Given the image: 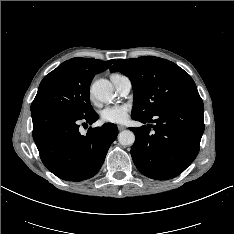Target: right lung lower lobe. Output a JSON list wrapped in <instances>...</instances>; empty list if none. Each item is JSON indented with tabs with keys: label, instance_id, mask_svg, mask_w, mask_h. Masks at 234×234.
I'll return each mask as SVG.
<instances>
[{
	"label": "right lung lower lobe",
	"instance_id": "right-lung-lower-lobe-1",
	"mask_svg": "<svg viewBox=\"0 0 234 234\" xmlns=\"http://www.w3.org/2000/svg\"><path fill=\"white\" fill-rule=\"evenodd\" d=\"M33 139L46 168L67 181H82L94 176L101 168L111 143L118 135L117 127L106 123L79 132V123L92 124L98 119L93 111L75 115L56 108L31 111Z\"/></svg>",
	"mask_w": 234,
	"mask_h": 234
}]
</instances>
